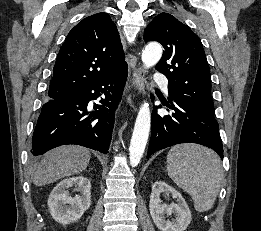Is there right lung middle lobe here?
<instances>
[{"mask_svg":"<svg viewBox=\"0 0 261 231\" xmlns=\"http://www.w3.org/2000/svg\"><path fill=\"white\" fill-rule=\"evenodd\" d=\"M51 100H55V99H51V98H50V99H48V101H51Z\"/></svg>","mask_w":261,"mask_h":231,"instance_id":"obj_1","label":"right lung middle lobe"}]
</instances>
